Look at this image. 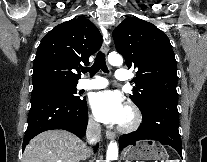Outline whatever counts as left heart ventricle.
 I'll return each instance as SVG.
<instances>
[{"label": "left heart ventricle", "instance_id": "b2bd125f", "mask_svg": "<svg viewBox=\"0 0 207 162\" xmlns=\"http://www.w3.org/2000/svg\"><path fill=\"white\" fill-rule=\"evenodd\" d=\"M129 120V112L127 111V109L125 110L124 114H123V117L120 121V123H125Z\"/></svg>", "mask_w": 207, "mask_h": 162}]
</instances>
